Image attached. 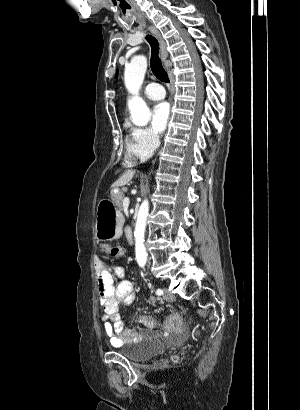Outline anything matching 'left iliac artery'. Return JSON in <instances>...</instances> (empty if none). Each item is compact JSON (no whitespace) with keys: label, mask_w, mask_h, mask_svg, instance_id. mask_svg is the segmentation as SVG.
<instances>
[{"label":"left iliac artery","mask_w":300,"mask_h":410,"mask_svg":"<svg viewBox=\"0 0 300 410\" xmlns=\"http://www.w3.org/2000/svg\"><path fill=\"white\" fill-rule=\"evenodd\" d=\"M156 294H157L158 296L162 295V294H163V290H162V289H157V290H156Z\"/></svg>","instance_id":"44dca946"}]
</instances>
